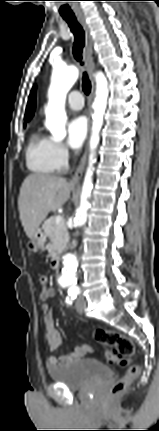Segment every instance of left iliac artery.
Here are the masks:
<instances>
[{
  "instance_id": "obj_1",
  "label": "left iliac artery",
  "mask_w": 159,
  "mask_h": 431,
  "mask_svg": "<svg viewBox=\"0 0 159 431\" xmlns=\"http://www.w3.org/2000/svg\"><path fill=\"white\" fill-rule=\"evenodd\" d=\"M79 293V291H78V288H74L73 289V291H72V293L71 294H69L70 296H71V298H66V302L68 303V304H72V300L73 299H75V297H76V295Z\"/></svg>"
}]
</instances>
